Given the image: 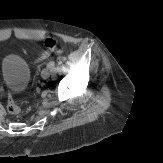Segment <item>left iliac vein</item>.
<instances>
[{"instance_id": "4c4485c4", "label": "left iliac vein", "mask_w": 163, "mask_h": 163, "mask_svg": "<svg viewBox=\"0 0 163 163\" xmlns=\"http://www.w3.org/2000/svg\"><path fill=\"white\" fill-rule=\"evenodd\" d=\"M41 76H42V78H44V79L49 78V76H50V70H49L48 68H44V69L42 70V72H41Z\"/></svg>"}]
</instances>
